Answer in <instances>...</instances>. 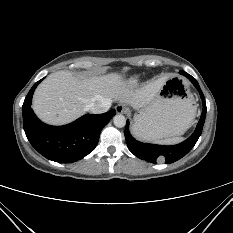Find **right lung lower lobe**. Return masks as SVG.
I'll list each match as a JSON object with an SVG mask.
<instances>
[{
    "instance_id": "right-lung-lower-lobe-1",
    "label": "right lung lower lobe",
    "mask_w": 233,
    "mask_h": 233,
    "mask_svg": "<svg viewBox=\"0 0 233 233\" xmlns=\"http://www.w3.org/2000/svg\"><path fill=\"white\" fill-rule=\"evenodd\" d=\"M40 81L33 85L22 106L23 127L29 142L41 155L55 162L72 163L85 157L96 147L101 130L115 110L86 114L64 126L44 124L31 109L32 95Z\"/></svg>"
}]
</instances>
